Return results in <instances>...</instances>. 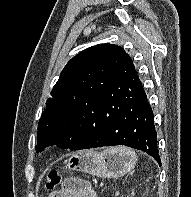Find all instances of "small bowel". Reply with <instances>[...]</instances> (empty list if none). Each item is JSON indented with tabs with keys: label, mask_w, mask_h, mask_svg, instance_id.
I'll return each mask as SVG.
<instances>
[{
	"label": "small bowel",
	"mask_w": 191,
	"mask_h": 197,
	"mask_svg": "<svg viewBox=\"0 0 191 197\" xmlns=\"http://www.w3.org/2000/svg\"><path fill=\"white\" fill-rule=\"evenodd\" d=\"M49 197H96L91 186L83 181H68L58 191Z\"/></svg>",
	"instance_id": "small-bowel-1"
}]
</instances>
